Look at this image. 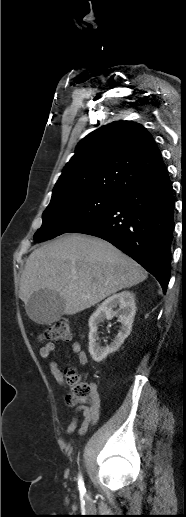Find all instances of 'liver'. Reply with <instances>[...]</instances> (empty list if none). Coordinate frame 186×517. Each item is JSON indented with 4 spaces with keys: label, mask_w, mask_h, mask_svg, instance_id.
<instances>
[{
    "label": "liver",
    "mask_w": 186,
    "mask_h": 517,
    "mask_svg": "<svg viewBox=\"0 0 186 517\" xmlns=\"http://www.w3.org/2000/svg\"><path fill=\"white\" fill-rule=\"evenodd\" d=\"M147 277L143 267L109 242L66 234L29 255L19 297L26 306L33 293L51 290L64 299V314L73 315Z\"/></svg>",
    "instance_id": "6515ba94"
}]
</instances>
